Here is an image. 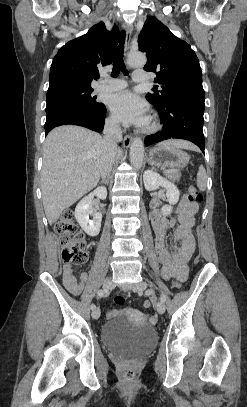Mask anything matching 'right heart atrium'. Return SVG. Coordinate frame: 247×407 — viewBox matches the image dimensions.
Listing matches in <instances>:
<instances>
[{
    "label": "right heart atrium",
    "mask_w": 247,
    "mask_h": 407,
    "mask_svg": "<svg viewBox=\"0 0 247 407\" xmlns=\"http://www.w3.org/2000/svg\"><path fill=\"white\" fill-rule=\"evenodd\" d=\"M107 123L108 125H110L111 127H116L117 126V122L113 117H108L107 119Z\"/></svg>",
    "instance_id": "1"
}]
</instances>
